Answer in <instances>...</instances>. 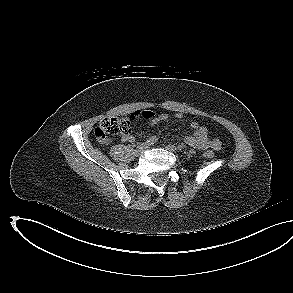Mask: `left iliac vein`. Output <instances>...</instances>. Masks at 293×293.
Here are the masks:
<instances>
[{"label":"left iliac vein","mask_w":293,"mask_h":293,"mask_svg":"<svg viewBox=\"0 0 293 293\" xmlns=\"http://www.w3.org/2000/svg\"><path fill=\"white\" fill-rule=\"evenodd\" d=\"M167 150H169V151H171V152H176L177 151V148H176V146H174V145H167L166 147H165Z\"/></svg>","instance_id":"4c4485c4"}]
</instances>
